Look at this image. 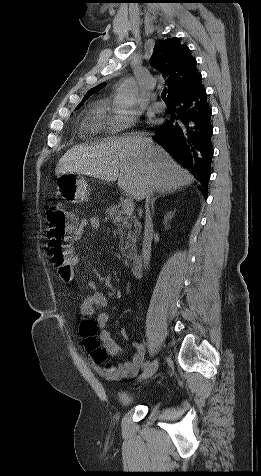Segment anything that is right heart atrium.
I'll return each instance as SVG.
<instances>
[{"instance_id":"obj_1","label":"right heart atrium","mask_w":261,"mask_h":476,"mask_svg":"<svg viewBox=\"0 0 261 476\" xmlns=\"http://www.w3.org/2000/svg\"><path fill=\"white\" fill-rule=\"evenodd\" d=\"M112 116L108 121V131L112 134L130 129L137 121V112L134 110L112 107Z\"/></svg>"}]
</instances>
